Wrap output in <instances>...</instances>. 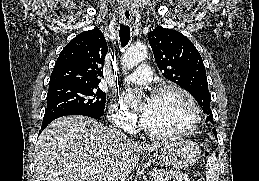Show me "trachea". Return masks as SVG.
<instances>
[{
  "instance_id": "trachea-1",
  "label": "trachea",
  "mask_w": 259,
  "mask_h": 181,
  "mask_svg": "<svg viewBox=\"0 0 259 181\" xmlns=\"http://www.w3.org/2000/svg\"><path fill=\"white\" fill-rule=\"evenodd\" d=\"M119 37L121 46L125 47L130 40V27L128 25L121 24L119 29Z\"/></svg>"
}]
</instances>
